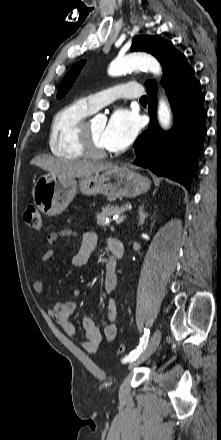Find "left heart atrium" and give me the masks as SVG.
Here are the masks:
<instances>
[{
  "instance_id": "1",
  "label": "left heart atrium",
  "mask_w": 221,
  "mask_h": 440,
  "mask_svg": "<svg viewBox=\"0 0 221 440\" xmlns=\"http://www.w3.org/2000/svg\"><path fill=\"white\" fill-rule=\"evenodd\" d=\"M140 128L136 113L120 108L114 111L102 134V142L106 149L121 150L135 139Z\"/></svg>"
}]
</instances>
